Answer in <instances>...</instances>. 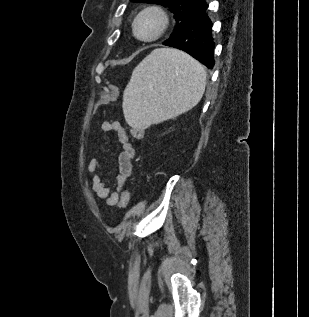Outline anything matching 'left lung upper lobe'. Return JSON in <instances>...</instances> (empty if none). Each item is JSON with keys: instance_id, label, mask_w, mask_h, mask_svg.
Returning a JSON list of instances; mask_svg holds the SVG:
<instances>
[{"instance_id": "5c2ea615", "label": "left lung upper lobe", "mask_w": 309, "mask_h": 317, "mask_svg": "<svg viewBox=\"0 0 309 317\" xmlns=\"http://www.w3.org/2000/svg\"><path fill=\"white\" fill-rule=\"evenodd\" d=\"M133 2H145L150 4H159L169 7L170 11L174 13L176 19V26L171 36L180 32L187 25L193 13L202 7L206 2L204 0H131Z\"/></svg>"}]
</instances>
